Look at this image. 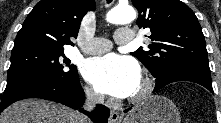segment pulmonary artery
Segmentation results:
<instances>
[{"mask_svg":"<svg viewBox=\"0 0 221 123\" xmlns=\"http://www.w3.org/2000/svg\"><path fill=\"white\" fill-rule=\"evenodd\" d=\"M134 37L133 32L127 28H120L115 33V42L117 44H127ZM112 47V42L105 38H94L83 48V51L87 54H101Z\"/></svg>","mask_w":221,"mask_h":123,"instance_id":"pulmonary-artery-1","label":"pulmonary artery"}]
</instances>
